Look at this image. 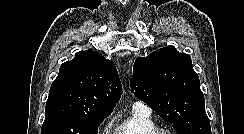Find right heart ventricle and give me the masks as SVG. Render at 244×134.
Instances as JSON below:
<instances>
[{
  "label": "right heart ventricle",
  "mask_w": 244,
  "mask_h": 134,
  "mask_svg": "<svg viewBox=\"0 0 244 134\" xmlns=\"http://www.w3.org/2000/svg\"><path fill=\"white\" fill-rule=\"evenodd\" d=\"M158 129L148 112L133 109L131 115L115 127L113 134H155Z\"/></svg>",
  "instance_id": "obj_1"
}]
</instances>
